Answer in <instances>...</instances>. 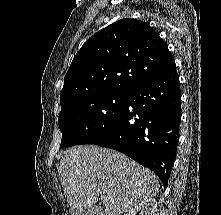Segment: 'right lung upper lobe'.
Segmentation results:
<instances>
[{"label":"right lung upper lobe","mask_w":221,"mask_h":215,"mask_svg":"<svg viewBox=\"0 0 221 215\" xmlns=\"http://www.w3.org/2000/svg\"><path fill=\"white\" fill-rule=\"evenodd\" d=\"M172 60L149 24L121 19L90 37L77 52L64 78L61 109L103 94H127Z\"/></svg>","instance_id":"1"}]
</instances>
